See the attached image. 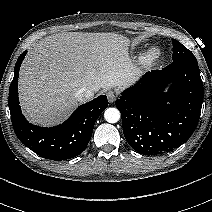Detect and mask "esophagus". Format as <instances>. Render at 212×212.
I'll list each match as a JSON object with an SVG mask.
<instances>
[{
  "label": "esophagus",
  "mask_w": 212,
  "mask_h": 212,
  "mask_svg": "<svg viewBox=\"0 0 212 212\" xmlns=\"http://www.w3.org/2000/svg\"><path fill=\"white\" fill-rule=\"evenodd\" d=\"M107 98H108V101L110 103H113L116 100V98H117V94L114 91H109L107 93Z\"/></svg>",
  "instance_id": "esophagus-1"
}]
</instances>
